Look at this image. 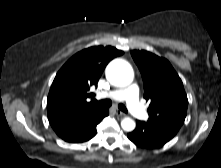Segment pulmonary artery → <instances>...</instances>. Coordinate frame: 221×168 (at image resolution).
<instances>
[{"label":"pulmonary artery","mask_w":221,"mask_h":168,"mask_svg":"<svg viewBox=\"0 0 221 168\" xmlns=\"http://www.w3.org/2000/svg\"><path fill=\"white\" fill-rule=\"evenodd\" d=\"M139 88L136 84H132L127 88L118 89L106 93H102L100 96L103 98H109L113 100H125L127 107L131 114L138 119H146L148 114L145 108L139 102Z\"/></svg>","instance_id":"obj_1"}]
</instances>
